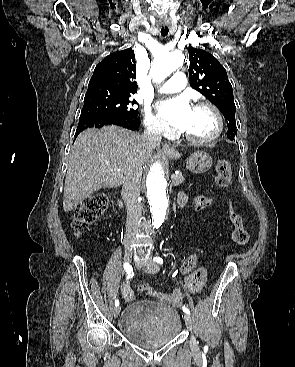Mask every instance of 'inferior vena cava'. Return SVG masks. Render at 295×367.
<instances>
[{
    "label": "inferior vena cava",
    "instance_id": "obj_1",
    "mask_svg": "<svg viewBox=\"0 0 295 367\" xmlns=\"http://www.w3.org/2000/svg\"><path fill=\"white\" fill-rule=\"evenodd\" d=\"M143 138L150 146L159 145L161 142V130L157 126H148L144 131ZM141 178L131 175L123 183L121 195L127 210L125 245H129L140 229V217L142 204L140 197Z\"/></svg>",
    "mask_w": 295,
    "mask_h": 367
}]
</instances>
